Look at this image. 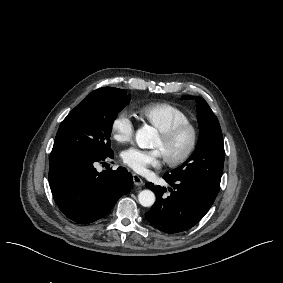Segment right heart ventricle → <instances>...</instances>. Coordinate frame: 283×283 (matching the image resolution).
Masks as SVG:
<instances>
[{"label":"right heart ventricle","mask_w":283,"mask_h":283,"mask_svg":"<svg viewBox=\"0 0 283 283\" xmlns=\"http://www.w3.org/2000/svg\"><path fill=\"white\" fill-rule=\"evenodd\" d=\"M135 113L160 133L165 132L177 123L190 121V117L184 111L164 102L143 105L137 108Z\"/></svg>","instance_id":"right-heart-ventricle-1"}]
</instances>
